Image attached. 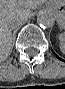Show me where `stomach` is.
Masks as SVG:
<instances>
[{
    "mask_svg": "<svg viewBox=\"0 0 65 89\" xmlns=\"http://www.w3.org/2000/svg\"><path fill=\"white\" fill-rule=\"evenodd\" d=\"M48 7L55 13L59 25L65 27V2L54 1L48 4Z\"/></svg>",
    "mask_w": 65,
    "mask_h": 89,
    "instance_id": "obj_1",
    "label": "stomach"
}]
</instances>
